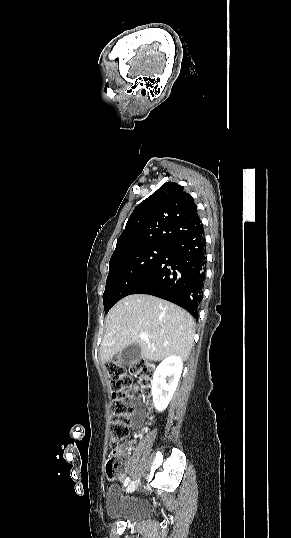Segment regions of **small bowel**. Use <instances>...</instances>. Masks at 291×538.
Here are the masks:
<instances>
[{
    "mask_svg": "<svg viewBox=\"0 0 291 538\" xmlns=\"http://www.w3.org/2000/svg\"><path fill=\"white\" fill-rule=\"evenodd\" d=\"M138 388L135 387V390H137ZM135 406H136V414L134 416V419L132 420L131 422V425L133 426H139L140 422H141V417H142V409H141V406H140V401L137 400L135 401ZM125 458L127 457V454L126 453H123L122 454ZM123 477V475H122Z\"/></svg>",
    "mask_w": 291,
    "mask_h": 538,
    "instance_id": "c3829d8e",
    "label": "small bowel"
}]
</instances>
